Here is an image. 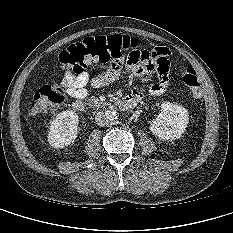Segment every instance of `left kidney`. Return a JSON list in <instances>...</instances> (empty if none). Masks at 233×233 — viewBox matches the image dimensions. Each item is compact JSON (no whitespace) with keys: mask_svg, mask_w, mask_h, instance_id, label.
Here are the masks:
<instances>
[{"mask_svg":"<svg viewBox=\"0 0 233 233\" xmlns=\"http://www.w3.org/2000/svg\"><path fill=\"white\" fill-rule=\"evenodd\" d=\"M161 109L163 112L150 125L151 132L166 140L180 138L189 121L187 110L181 105L170 102L163 103Z\"/></svg>","mask_w":233,"mask_h":233,"instance_id":"obj_1","label":"left kidney"}]
</instances>
